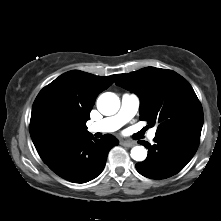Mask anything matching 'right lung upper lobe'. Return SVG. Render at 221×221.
I'll list each match as a JSON object with an SVG mask.
<instances>
[{"instance_id":"1","label":"right lung upper lobe","mask_w":221,"mask_h":221,"mask_svg":"<svg viewBox=\"0 0 221 221\" xmlns=\"http://www.w3.org/2000/svg\"><path fill=\"white\" fill-rule=\"evenodd\" d=\"M116 77L72 70L44 87L33 103L30 120V135L36 150L53 142L89 134L86 122L90 110L97 96Z\"/></svg>"}]
</instances>
